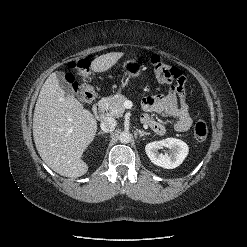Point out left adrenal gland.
Returning <instances> with one entry per match:
<instances>
[{
  "label": "left adrenal gland",
  "instance_id": "a2214340",
  "mask_svg": "<svg viewBox=\"0 0 247 247\" xmlns=\"http://www.w3.org/2000/svg\"><path fill=\"white\" fill-rule=\"evenodd\" d=\"M137 132H138L140 138L145 136V135H149V133H147L145 131L137 130Z\"/></svg>",
  "mask_w": 247,
  "mask_h": 247
}]
</instances>
